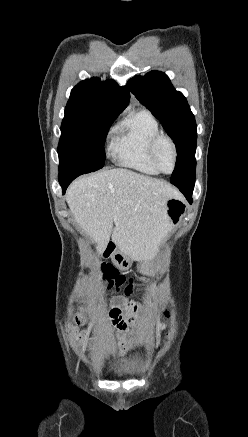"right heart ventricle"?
I'll return each instance as SVG.
<instances>
[{"mask_svg": "<svg viewBox=\"0 0 248 437\" xmlns=\"http://www.w3.org/2000/svg\"><path fill=\"white\" fill-rule=\"evenodd\" d=\"M160 133L155 116L146 109L129 114L115 129L111 153L117 163L142 174L156 176L160 172L149 157V144Z\"/></svg>", "mask_w": 248, "mask_h": 437, "instance_id": "e07e8e85", "label": "right heart ventricle"}]
</instances>
